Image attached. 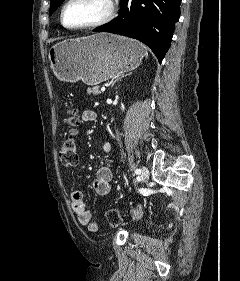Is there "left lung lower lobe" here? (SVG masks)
Listing matches in <instances>:
<instances>
[{
    "mask_svg": "<svg viewBox=\"0 0 240 281\" xmlns=\"http://www.w3.org/2000/svg\"><path fill=\"white\" fill-rule=\"evenodd\" d=\"M181 0H121L119 15L94 32L135 38L149 46L161 63L168 51Z\"/></svg>",
    "mask_w": 240,
    "mask_h": 281,
    "instance_id": "left-lung-lower-lobe-1",
    "label": "left lung lower lobe"
}]
</instances>
